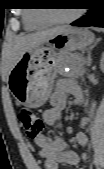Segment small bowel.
Returning <instances> with one entry per match:
<instances>
[{"label": "small bowel", "instance_id": "obj_1", "mask_svg": "<svg viewBox=\"0 0 104 169\" xmlns=\"http://www.w3.org/2000/svg\"><path fill=\"white\" fill-rule=\"evenodd\" d=\"M71 95L76 103L82 98V92L79 85L72 80L61 81L50 98L51 106L44 111L43 120L48 125H60L62 113L67 104V96ZM87 123L83 119L81 125ZM76 143L85 147L88 142L87 135L84 132H78L75 135ZM35 144L40 149V156L44 159L46 169H59L60 165H77L80 160L85 159V155H79L67 148V143L62 137L52 138L47 135H41L35 140ZM83 169V168H80Z\"/></svg>", "mask_w": 104, "mask_h": 169}]
</instances>
